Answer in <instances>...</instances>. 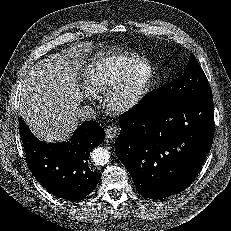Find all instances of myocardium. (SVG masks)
I'll return each instance as SVG.
<instances>
[{"mask_svg":"<svg viewBox=\"0 0 231 231\" xmlns=\"http://www.w3.org/2000/svg\"><path fill=\"white\" fill-rule=\"evenodd\" d=\"M144 67L149 71L146 81L136 90L130 92L129 86L131 79ZM154 83V67L148 60H140L106 90L104 103L109 112L113 114H124L141 103L152 89Z\"/></svg>","mask_w":231,"mask_h":231,"instance_id":"myocardium-1","label":"myocardium"}]
</instances>
